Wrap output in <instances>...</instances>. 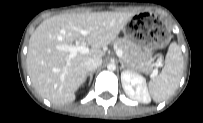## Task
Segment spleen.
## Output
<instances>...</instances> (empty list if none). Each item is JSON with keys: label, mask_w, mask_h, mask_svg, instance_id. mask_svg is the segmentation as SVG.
<instances>
[{"label": "spleen", "mask_w": 203, "mask_h": 123, "mask_svg": "<svg viewBox=\"0 0 203 123\" xmlns=\"http://www.w3.org/2000/svg\"><path fill=\"white\" fill-rule=\"evenodd\" d=\"M183 67L180 46L173 42L169 46L164 68L149 82V92L155 102H162L175 93L183 74Z\"/></svg>", "instance_id": "spleen-1"}]
</instances>
